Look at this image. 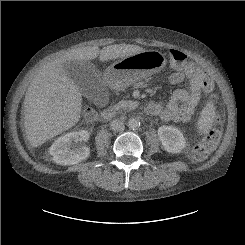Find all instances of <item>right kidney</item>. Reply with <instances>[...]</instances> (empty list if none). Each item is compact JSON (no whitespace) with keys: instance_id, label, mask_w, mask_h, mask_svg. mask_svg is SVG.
Wrapping results in <instances>:
<instances>
[{"instance_id":"right-kidney-1","label":"right kidney","mask_w":245,"mask_h":245,"mask_svg":"<svg viewBox=\"0 0 245 245\" xmlns=\"http://www.w3.org/2000/svg\"><path fill=\"white\" fill-rule=\"evenodd\" d=\"M89 133L86 130L67 133L59 137L49 149L53 156V161L59 165H73L90 155V148L85 145H80L72 148L74 142L87 141Z\"/></svg>"}]
</instances>
